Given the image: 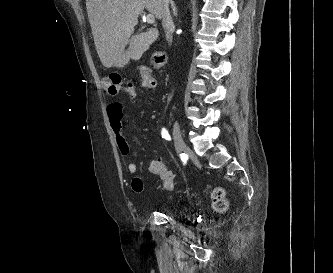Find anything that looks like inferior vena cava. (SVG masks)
I'll list each match as a JSON object with an SVG mask.
<instances>
[{"label": "inferior vena cava", "mask_w": 333, "mask_h": 273, "mask_svg": "<svg viewBox=\"0 0 333 273\" xmlns=\"http://www.w3.org/2000/svg\"><path fill=\"white\" fill-rule=\"evenodd\" d=\"M169 1L170 0H160V11L162 15V26L165 31L166 39L171 44L174 24L169 11Z\"/></svg>", "instance_id": "1"}]
</instances>
